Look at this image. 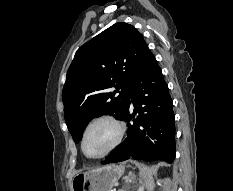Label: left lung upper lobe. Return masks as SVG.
<instances>
[{
	"label": "left lung upper lobe",
	"mask_w": 233,
	"mask_h": 191,
	"mask_svg": "<svg viewBox=\"0 0 233 191\" xmlns=\"http://www.w3.org/2000/svg\"><path fill=\"white\" fill-rule=\"evenodd\" d=\"M150 53L142 35L122 22L77 50L62 92L65 121L76 143L92 118H123L132 79Z\"/></svg>",
	"instance_id": "5c2ea615"
}]
</instances>
